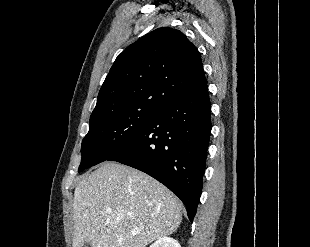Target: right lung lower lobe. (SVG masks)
<instances>
[{"instance_id": "1", "label": "right lung lower lobe", "mask_w": 310, "mask_h": 247, "mask_svg": "<svg viewBox=\"0 0 310 247\" xmlns=\"http://www.w3.org/2000/svg\"><path fill=\"white\" fill-rule=\"evenodd\" d=\"M207 84L162 106L137 136L107 161L147 173L185 204L191 222L202 191L211 133Z\"/></svg>"}]
</instances>
